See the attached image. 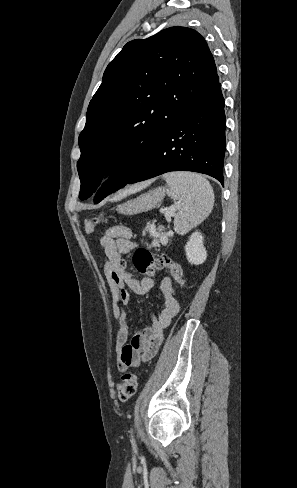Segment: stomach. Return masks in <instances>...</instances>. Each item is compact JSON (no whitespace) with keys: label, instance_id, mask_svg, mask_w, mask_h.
<instances>
[{"label":"stomach","instance_id":"obj_1","mask_svg":"<svg viewBox=\"0 0 297 488\" xmlns=\"http://www.w3.org/2000/svg\"><path fill=\"white\" fill-rule=\"evenodd\" d=\"M166 187H157L149 190L147 193L141 194L138 197L128 200L116 207L119 214L131 216L142 212H146L158 206L167 193Z\"/></svg>","mask_w":297,"mask_h":488}]
</instances>
